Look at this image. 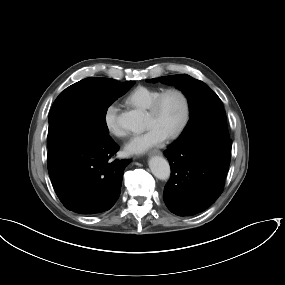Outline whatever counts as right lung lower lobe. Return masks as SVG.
<instances>
[{
  "label": "right lung lower lobe",
  "mask_w": 285,
  "mask_h": 285,
  "mask_svg": "<svg viewBox=\"0 0 285 285\" xmlns=\"http://www.w3.org/2000/svg\"><path fill=\"white\" fill-rule=\"evenodd\" d=\"M119 150L112 138L75 137L48 154V172L62 204L73 212L92 215L117 201L130 160L110 158Z\"/></svg>",
  "instance_id": "1"
}]
</instances>
